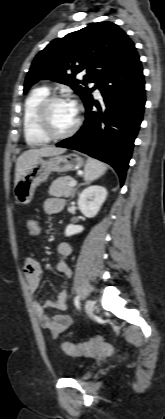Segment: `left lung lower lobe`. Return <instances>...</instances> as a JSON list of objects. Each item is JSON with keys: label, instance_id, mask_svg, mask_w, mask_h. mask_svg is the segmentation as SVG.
Returning a JSON list of instances; mask_svg holds the SVG:
<instances>
[{"label": "left lung lower lobe", "instance_id": "left-lung-lower-lobe-1", "mask_svg": "<svg viewBox=\"0 0 165 419\" xmlns=\"http://www.w3.org/2000/svg\"><path fill=\"white\" fill-rule=\"evenodd\" d=\"M139 56L134 50L98 85L103 104L94 100L85 105V121L71 138L58 147L75 149L110 164L121 186L131 159L134 141L143 118L145 82ZM96 106L98 111H93Z\"/></svg>", "mask_w": 165, "mask_h": 419}]
</instances>
